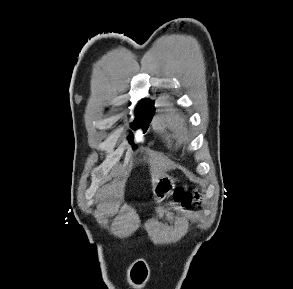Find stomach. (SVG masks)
<instances>
[{
	"label": "stomach",
	"mask_w": 293,
	"mask_h": 289,
	"mask_svg": "<svg viewBox=\"0 0 293 289\" xmlns=\"http://www.w3.org/2000/svg\"><path fill=\"white\" fill-rule=\"evenodd\" d=\"M174 180L169 176L161 177L153 188V197L157 203L165 200L174 190Z\"/></svg>",
	"instance_id": "stomach-1"
}]
</instances>
